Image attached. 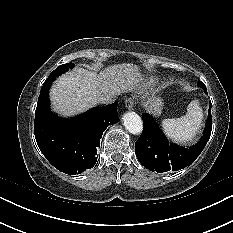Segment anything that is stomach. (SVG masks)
Returning a JSON list of instances; mask_svg holds the SVG:
<instances>
[{"label":"stomach","mask_w":233,"mask_h":233,"mask_svg":"<svg viewBox=\"0 0 233 233\" xmlns=\"http://www.w3.org/2000/svg\"><path fill=\"white\" fill-rule=\"evenodd\" d=\"M144 107L152 113L154 116H159L163 108L162 99L155 95V92L151 94L144 102Z\"/></svg>","instance_id":"0dacf381"}]
</instances>
